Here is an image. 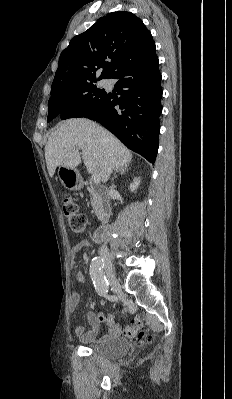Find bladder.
Returning <instances> with one entry per match:
<instances>
[{"label": "bladder", "mask_w": 232, "mask_h": 399, "mask_svg": "<svg viewBox=\"0 0 232 399\" xmlns=\"http://www.w3.org/2000/svg\"><path fill=\"white\" fill-rule=\"evenodd\" d=\"M89 349L100 357L116 360L123 358L129 353L130 344L127 339L117 337L103 343L93 344L89 346Z\"/></svg>", "instance_id": "bladder-1"}]
</instances>
